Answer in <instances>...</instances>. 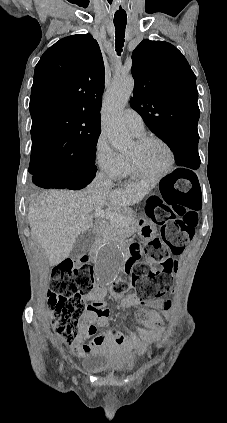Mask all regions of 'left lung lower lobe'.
<instances>
[{"mask_svg":"<svg viewBox=\"0 0 227 423\" xmlns=\"http://www.w3.org/2000/svg\"><path fill=\"white\" fill-rule=\"evenodd\" d=\"M198 133L173 137L167 141L175 155V161L178 166H184L196 170L200 166V157L198 154ZM173 175H182L186 178L196 175L188 169H176Z\"/></svg>","mask_w":227,"mask_h":423,"instance_id":"obj_1","label":"left lung lower lobe"}]
</instances>
